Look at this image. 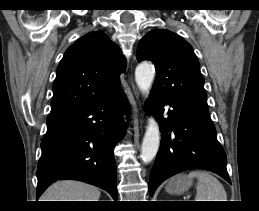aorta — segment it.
<instances>
[{
  "label": "aorta",
  "mask_w": 259,
  "mask_h": 211,
  "mask_svg": "<svg viewBox=\"0 0 259 211\" xmlns=\"http://www.w3.org/2000/svg\"><path fill=\"white\" fill-rule=\"evenodd\" d=\"M155 77L154 66L144 62L135 70V81L140 91L148 95ZM160 145L159 125L153 117L148 119V125L141 146L140 157L144 163L151 162L156 156Z\"/></svg>",
  "instance_id": "762f6f07"
}]
</instances>
